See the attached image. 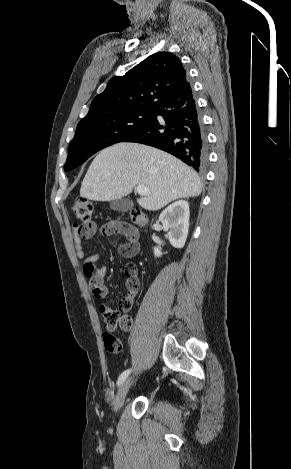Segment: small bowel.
I'll return each mask as SVG.
<instances>
[{
  "instance_id": "small-bowel-1",
  "label": "small bowel",
  "mask_w": 291,
  "mask_h": 469,
  "mask_svg": "<svg viewBox=\"0 0 291 469\" xmlns=\"http://www.w3.org/2000/svg\"><path fill=\"white\" fill-rule=\"evenodd\" d=\"M96 231H97V224L95 222H91L89 224L88 230L86 232H83L79 225H74L73 240H74V247H75L77 258L84 260L83 272L89 280V286H90L92 293L94 294L95 297L99 299H104L107 296V288L104 285V277L107 274L109 267L108 265H104L100 268H95L94 264L100 258V254H95V255L87 257L86 252L84 250V246H83V241L93 236L96 233ZM101 232L105 236L120 234L126 237L128 243L134 247V251L124 256L132 257L137 253L138 251L137 231L133 227L129 226L128 224L119 222V221H110L102 225ZM101 307L110 308L106 304H101ZM130 329L122 328V330L124 331H128Z\"/></svg>"
}]
</instances>
